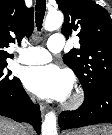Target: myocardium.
<instances>
[{
  "label": "myocardium",
  "instance_id": "1",
  "mask_svg": "<svg viewBox=\"0 0 112 135\" xmlns=\"http://www.w3.org/2000/svg\"><path fill=\"white\" fill-rule=\"evenodd\" d=\"M85 101V95L82 91H76L69 100L64 104V107L67 109H77L79 108Z\"/></svg>",
  "mask_w": 112,
  "mask_h": 135
}]
</instances>
